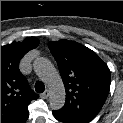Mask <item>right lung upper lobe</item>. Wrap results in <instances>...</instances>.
<instances>
[{"instance_id":"1","label":"right lung upper lobe","mask_w":123,"mask_h":123,"mask_svg":"<svg viewBox=\"0 0 123 123\" xmlns=\"http://www.w3.org/2000/svg\"><path fill=\"white\" fill-rule=\"evenodd\" d=\"M35 37L1 47V123H25L29 103L38 98L18 68L21 58L38 46Z\"/></svg>"}]
</instances>
